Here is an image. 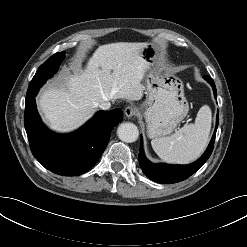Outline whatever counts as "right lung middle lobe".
<instances>
[{"mask_svg": "<svg viewBox=\"0 0 247 247\" xmlns=\"http://www.w3.org/2000/svg\"><path fill=\"white\" fill-rule=\"evenodd\" d=\"M65 52H59L51 56L44 62L36 72L30 84H43L46 79L51 77L58 69L61 61L64 59Z\"/></svg>", "mask_w": 247, "mask_h": 247, "instance_id": "1", "label": "right lung middle lobe"}]
</instances>
